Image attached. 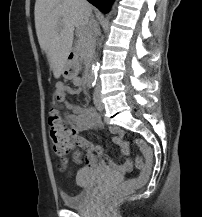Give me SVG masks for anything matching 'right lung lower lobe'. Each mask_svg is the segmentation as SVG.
Returning a JSON list of instances; mask_svg holds the SVG:
<instances>
[{"label": "right lung lower lobe", "instance_id": "right-lung-lower-lobe-1", "mask_svg": "<svg viewBox=\"0 0 202 217\" xmlns=\"http://www.w3.org/2000/svg\"><path fill=\"white\" fill-rule=\"evenodd\" d=\"M91 4L96 6L99 10H101L103 13L108 12L109 6L112 2V0H88Z\"/></svg>", "mask_w": 202, "mask_h": 217}]
</instances>
